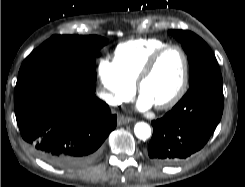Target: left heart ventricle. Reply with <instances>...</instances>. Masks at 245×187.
<instances>
[{"label":"left heart ventricle","mask_w":245,"mask_h":187,"mask_svg":"<svg viewBox=\"0 0 245 187\" xmlns=\"http://www.w3.org/2000/svg\"><path fill=\"white\" fill-rule=\"evenodd\" d=\"M183 73V61L177 50L167 51L141 88V94L153 105L170 98L177 90Z\"/></svg>","instance_id":"obj_1"}]
</instances>
